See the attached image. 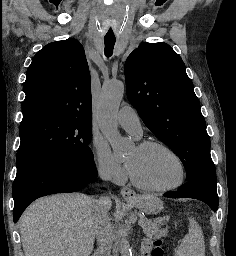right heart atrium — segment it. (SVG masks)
Wrapping results in <instances>:
<instances>
[{"mask_svg": "<svg viewBox=\"0 0 236 256\" xmlns=\"http://www.w3.org/2000/svg\"><path fill=\"white\" fill-rule=\"evenodd\" d=\"M95 160L98 174L101 178L111 181L116 185H123L128 180V170L108 150V148L96 142L94 144Z\"/></svg>", "mask_w": 236, "mask_h": 256, "instance_id": "1", "label": "right heart atrium"}]
</instances>
